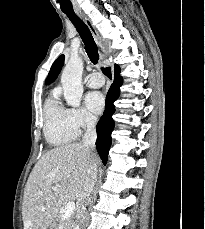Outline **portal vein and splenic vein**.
<instances>
[{"label":"portal vein and splenic vein","instance_id":"obj_1","mask_svg":"<svg viewBox=\"0 0 205 229\" xmlns=\"http://www.w3.org/2000/svg\"><path fill=\"white\" fill-rule=\"evenodd\" d=\"M52 189H53V191H56V190H58V186H53ZM74 210H75V202L74 201H68L66 203L65 209L62 213V220L68 219L72 215Z\"/></svg>","mask_w":205,"mask_h":229}]
</instances>
